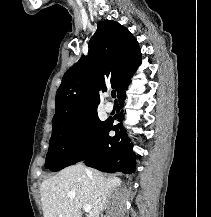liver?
Returning <instances> with one entry per match:
<instances>
[{
    "instance_id": "liver-1",
    "label": "liver",
    "mask_w": 211,
    "mask_h": 217,
    "mask_svg": "<svg viewBox=\"0 0 211 217\" xmlns=\"http://www.w3.org/2000/svg\"><path fill=\"white\" fill-rule=\"evenodd\" d=\"M121 180L106 177L81 164L69 166L40 186L44 217H83L82 208L89 205L87 217H99L106 200Z\"/></svg>"
}]
</instances>
